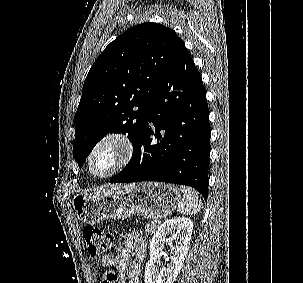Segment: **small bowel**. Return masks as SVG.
I'll use <instances>...</instances> for the list:
<instances>
[{"label":"small bowel","mask_w":303,"mask_h":283,"mask_svg":"<svg viewBox=\"0 0 303 283\" xmlns=\"http://www.w3.org/2000/svg\"><path fill=\"white\" fill-rule=\"evenodd\" d=\"M147 247L138 232L122 236L117 252L102 257V265L111 268L103 277L102 283H142L140 268L145 259ZM135 259L128 262L130 256ZM115 272V275L111 273Z\"/></svg>","instance_id":"obj_1"}]
</instances>
